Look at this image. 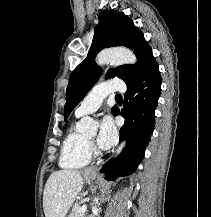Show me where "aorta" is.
<instances>
[{
  "instance_id": "762f6f07",
  "label": "aorta",
  "mask_w": 211,
  "mask_h": 217,
  "mask_svg": "<svg viewBox=\"0 0 211 217\" xmlns=\"http://www.w3.org/2000/svg\"><path fill=\"white\" fill-rule=\"evenodd\" d=\"M96 61L98 64L103 65L107 63H111L114 65L121 64H135L137 62V58L132 51L125 48H118L112 50H106L100 52ZM93 128V120L89 117H84L80 121L79 129L81 131H90ZM125 146V142H122L117 149L116 154H119Z\"/></svg>"
}]
</instances>
